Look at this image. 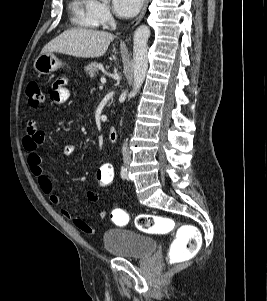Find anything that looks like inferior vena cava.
I'll return each mask as SVG.
<instances>
[{"label": "inferior vena cava", "instance_id": "602c4592", "mask_svg": "<svg viewBox=\"0 0 267 301\" xmlns=\"http://www.w3.org/2000/svg\"><path fill=\"white\" fill-rule=\"evenodd\" d=\"M122 156L124 163H129L131 159V153L128 148L127 140L123 143L122 146Z\"/></svg>", "mask_w": 267, "mask_h": 301}]
</instances>
